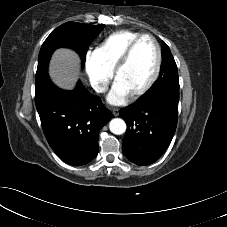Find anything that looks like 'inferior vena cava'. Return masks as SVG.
Returning a JSON list of instances; mask_svg holds the SVG:
<instances>
[{"mask_svg":"<svg viewBox=\"0 0 227 227\" xmlns=\"http://www.w3.org/2000/svg\"><path fill=\"white\" fill-rule=\"evenodd\" d=\"M92 88L94 89V91H95L96 93H103V92L106 91V87H105L104 85H100V84H98V83H94V84L92 85Z\"/></svg>","mask_w":227,"mask_h":227,"instance_id":"inferior-vena-cava-1","label":"inferior vena cava"}]
</instances>
